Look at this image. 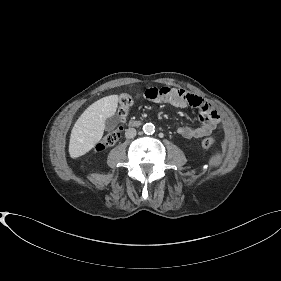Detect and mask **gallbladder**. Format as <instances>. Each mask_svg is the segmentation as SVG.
<instances>
[{"mask_svg":"<svg viewBox=\"0 0 281 281\" xmlns=\"http://www.w3.org/2000/svg\"><path fill=\"white\" fill-rule=\"evenodd\" d=\"M119 123V117L113 115L105 120V130L110 131L113 130Z\"/></svg>","mask_w":281,"mask_h":281,"instance_id":"obj_1","label":"gallbladder"}]
</instances>
